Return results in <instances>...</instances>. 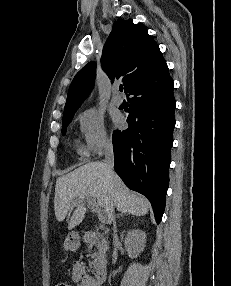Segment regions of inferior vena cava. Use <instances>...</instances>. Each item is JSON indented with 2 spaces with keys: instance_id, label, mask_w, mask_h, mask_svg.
<instances>
[{
  "instance_id": "602c4592",
  "label": "inferior vena cava",
  "mask_w": 231,
  "mask_h": 286,
  "mask_svg": "<svg viewBox=\"0 0 231 286\" xmlns=\"http://www.w3.org/2000/svg\"><path fill=\"white\" fill-rule=\"evenodd\" d=\"M104 154H105V165L109 175L114 173V152H113V144L111 141H106L104 143ZM110 218L113 221L114 226V237H115V217H114V209L112 208L110 211Z\"/></svg>"
}]
</instances>
